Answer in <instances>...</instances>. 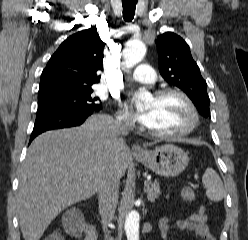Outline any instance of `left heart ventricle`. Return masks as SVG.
Listing matches in <instances>:
<instances>
[{"label": "left heart ventricle", "mask_w": 248, "mask_h": 240, "mask_svg": "<svg viewBox=\"0 0 248 240\" xmlns=\"http://www.w3.org/2000/svg\"><path fill=\"white\" fill-rule=\"evenodd\" d=\"M147 109L153 113L148 128L158 132H175L185 128L191 121L186 103L176 95L152 98Z\"/></svg>", "instance_id": "b2bd125f"}]
</instances>
